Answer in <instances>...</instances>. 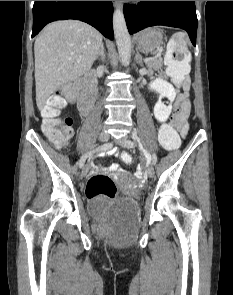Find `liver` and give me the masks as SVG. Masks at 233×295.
Wrapping results in <instances>:
<instances>
[{"label":"liver","instance_id":"liver-1","mask_svg":"<svg viewBox=\"0 0 233 295\" xmlns=\"http://www.w3.org/2000/svg\"><path fill=\"white\" fill-rule=\"evenodd\" d=\"M102 38L98 30L78 20L52 22L37 36L35 84L40 111L58 88L91 69L103 45Z\"/></svg>","mask_w":233,"mask_h":295}]
</instances>
